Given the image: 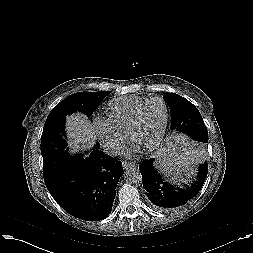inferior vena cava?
I'll return each mask as SVG.
<instances>
[{
	"label": "inferior vena cava",
	"instance_id": "obj_1",
	"mask_svg": "<svg viewBox=\"0 0 253 253\" xmlns=\"http://www.w3.org/2000/svg\"><path fill=\"white\" fill-rule=\"evenodd\" d=\"M104 148H105V151L108 153V154H111V155H114V154H117V150L118 148L113 145V144H105L104 145Z\"/></svg>",
	"mask_w": 253,
	"mask_h": 253
}]
</instances>
